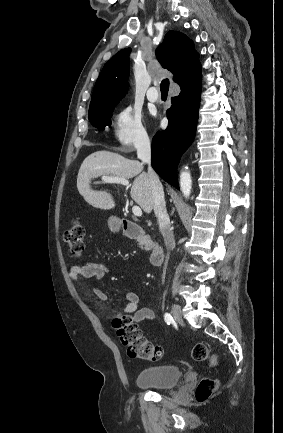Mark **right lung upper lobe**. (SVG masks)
Listing matches in <instances>:
<instances>
[{"mask_svg":"<svg viewBox=\"0 0 283 433\" xmlns=\"http://www.w3.org/2000/svg\"><path fill=\"white\" fill-rule=\"evenodd\" d=\"M130 48L115 54L104 66L97 79L89 113L101 108L117 105L128 91ZM160 64L174 74V81L180 86L189 84L201 77L199 54L193 41L185 34L170 30L164 41L156 49Z\"/></svg>","mask_w":283,"mask_h":433,"instance_id":"1","label":"right lung upper lobe"}]
</instances>
